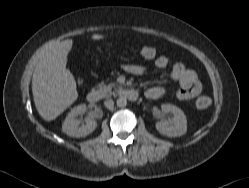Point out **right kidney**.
Masks as SVG:
<instances>
[{
    "mask_svg": "<svg viewBox=\"0 0 249 188\" xmlns=\"http://www.w3.org/2000/svg\"><path fill=\"white\" fill-rule=\"evenodd\" d=\"M86 110L87 108L85 104L74 107L66 116L62 124V131L65 134L76 138L85 137L92 133L97 127L95 119L88 117L81 126V121L76 119L78 115H83Z\"/></svg>",
    "mask_w": 249,
    "mask_h": 188,
    "instance_id": "1",
    "label": "right kidney"
}]
</instances>
